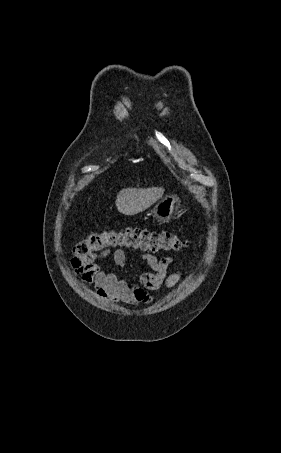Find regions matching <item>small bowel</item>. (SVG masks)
<instances>
[{"instance_id": "c3829d8e", "label": "small bowel", "mask_w": 281, "mask_h": 453, "mask_svg": "<svg viewBox=\"0 0 281 453\" xmlns=\"http://www.w3.org/2000/svg\"><path fill=\"white\" fill-rule=\"evenodd\" d=\"M111 261L117 268L126 267L130 264V259L122 249H117L112 253ZM172 262V257L159 259L152 254L145 255L143 263L147 270L137 279L141 286L117 277L114 272L104 269L90 260L74 259L72 269L79 278L81 285L104 302L138 305L146 304L153 298L150 292L159 290L164 286L171 288L182 279V271H168V266Z\"/></svg>"}]
</instances>
